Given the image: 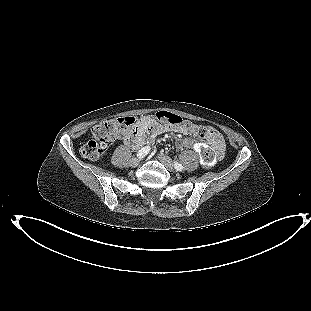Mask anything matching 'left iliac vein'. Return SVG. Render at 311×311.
Masks as SVG:
<instances>
[{"label": "left iliac vein", "mask_w": 311, "mask_h": 311, "mask_svg": "<svg viewBox=\"0 0 311 311\" xmlns=\"http://www.w3.org/2000/svg\"><path fill=\"white\" fill-rule=\"evenodd\" d=\"M158 159L160 160V162L169 170V171H174V165H173V162L172 160L166 156V155H163V154H160L158 156Z\"/></svg>", "instance_id": "1"}]
</instances>
